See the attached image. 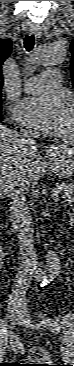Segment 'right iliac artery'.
<instances>
[{
  "label": "right iliac artery",
  "mask_w": 74,
  "mask_h": 366,
  "mask_svg": "<svg viewBox=\"0 0 74 366\" xmlns=\"http://www.w3.org/2000/svg\"><path fill=\"white\" fill-rule=\"evenodd\" d=\"M11 341H12V344L14 343V341H15V338H14V336L13 335H11ZM13 347H15V346H13Z\"/></svg>",
  "instance_id": "obj_1"
}]
</instances>
